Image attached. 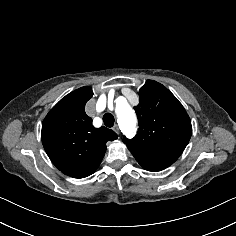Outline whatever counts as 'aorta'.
<instances>
[{"instance_id": "1", "label": "aorta", "mask_w": 236, "mask_h": 236, "mask_svg": "<svg viewBox=\"0 0 236 236\" xmlns=\"http://www.w3.org/2000/svg\"><path fill=\"white\" fill-rule=\"evenodd\" d=\"M118 124L126 135H134L136 132L137 119L133 109L127 102L119 103L116 106Z\"/></svg>"}]
</instances>
